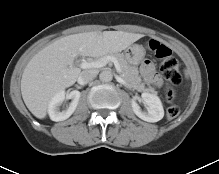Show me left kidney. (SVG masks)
I'll use <instances>...</instances> for the list:
<instances>
[{
	"mask_svg": "<svg viewBox=\"0 0 219 174\" xmlns=\"http://www.w3.org/2000/svg\"><path fill=\"white\" fill-rule=\"evenodd\" d=\"M143 103L147 106V111H142L136 102V98L131 100L134 113L142 120L147 122H158L164 116V109L160 98L151 93H142Z\"/></svg>",
	"mask_w": 219,
	"mask_h": 174,
	"instance_id": "obj_1",
	"label": "left kidney"
}]
</instances>
